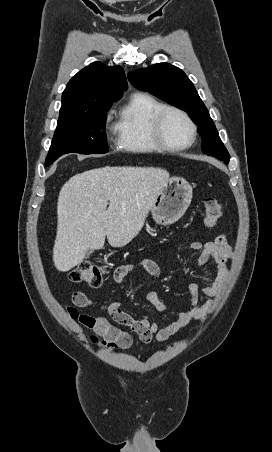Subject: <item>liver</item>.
Listing matches in <instances>:
<instances>
[{
	"label": "liver",
	"instance_id": "1",
	"mask_svg": "<svg viewBox=\"0 0 272 452\" xmlns=\"http://www.w3.org/2000/svg\"><path fill=\"white\" fill-rule=\"evenodd\" d=\"M169 173L161 168L105 166L71 177L57 202L53 262L67 272L89 250L127 245L141 231ZM109 201V206L107 208Z\"/></svg>",
	"mask_w": 272,
	"mask_h": 452
}]
</instances>
